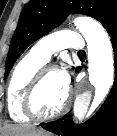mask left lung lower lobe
Returning <instances> with one entry per match:
<instances>
[{
  "label": "left lung lower lobe",
  "mask_w": 117,
  "mask_h": 136,
  "mask_svg": "<svg viewBox=\"0 0 117 136\" xmlns=\"http://www.w3.org/2000/svg\"><path fill=\"white\" fill-rule=\"evenodd\" d=\"M105 28L111 37L115 61V80L107 99L86 123L74 125L69 112L57 121L40 124L45 130L61 136H117V14Z\"/></svg>",
  "instance_id": "obj_1"
}]
</instances>
